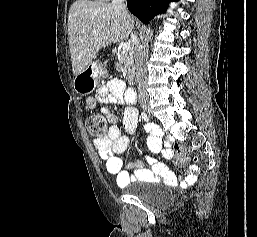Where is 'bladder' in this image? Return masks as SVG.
I'll return each mask as SVG.
<instances>
[{"instance_id":"31cf9c89","label":"bladder","mask_w":257,"mask_h":237,"mask_svg":"<svg viewBox=\"0 0 257 237\" xmlns=\"http://www.w3.org/2000/svg\"><path fill=\"white\" fill-rule=\"evenodd\" d=\"M155 183V182H150ZM133 196L139 198L142 201L151 203V204H161L168 199H170V196L163 194V193H150L148 191H145L143 189L134 187L131 188L130 192Z\"/></svg>"}]
</instances>
